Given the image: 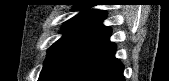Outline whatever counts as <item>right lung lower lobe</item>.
Returning a JSON list of instances; mask_svg holds the SVG:
<instances>
[{
    "label": "right lung lower lobe",
    "mask_w": 169,
    "mask_h": 81,
    "mask_svg": "<svg viewBox=\"0 0 169 81\" xmlns=\"http://www.w3.org/2000/svg\"><path fill=\"white\" fill-rule=\"evenodd\" d=\"M104 18L76 30L45 62L39 81H124Z\"/></svg>",
    "instance_id": "98d812e1"
}]
</instances>
